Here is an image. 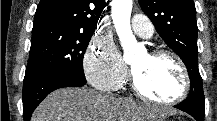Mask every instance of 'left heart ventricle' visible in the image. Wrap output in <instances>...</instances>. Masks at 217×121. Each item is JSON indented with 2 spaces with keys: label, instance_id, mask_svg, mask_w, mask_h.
Segmentation results:
<instances>
[{
  "label": "left heart ventricle",
  "instance_id": "1",
  "mask_svg": "<svg viewBox=\"0 0 217 121\" xmlns=\"http://www.w3.org/2000/svg\"><path fill=\"white\" fill-rule=\"evenodd\" d=\"M130 66L141 88L152 97L167 100L181 89L180 72L170 58L141 54L130 62Z\"/></svg>",
  "mask_w": 217,
  "mask_h": 121
}]
</instances>
